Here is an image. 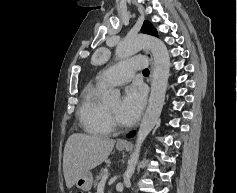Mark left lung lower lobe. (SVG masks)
<instances>
[{
    "label": "left lung lower lobe",
    "instance_id": "1",
    "mask_svg": "<svg viewBox=\"0 0 237 193\" xmlns=\"http://www.w3.org/2000/svg\"><path fill=\"white\" fill-rule=\"evenodd\" d=\"M133 135H134V132L129 133V134L127 135V137H131V136H133Z\"/></svg>",
    "mask_w": 237,
    "mask_h": 193
}]
</instances>
